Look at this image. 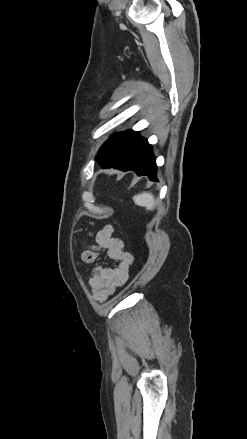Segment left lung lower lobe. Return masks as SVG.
<instances>
[{"label":"left lung lower lobe","mask_w":247,"mask_h":439,"mask_svg":"<svg viewBox=\"0 0 247 439\" xmlns=\"http://www.w3.org/2000/svg\"><path fill=\"white\" fill-rule=\"evenodd\" d=\"M121 170H133L139 176L147 175L150 180H157L155 178L157 170L155 158L152 147L146 139L138 135Z\"/></svg>","instance_id":"left-lung-lower-lobe-1"}]
</instances>
